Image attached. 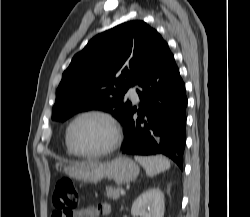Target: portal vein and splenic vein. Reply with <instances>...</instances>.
<instances>
[{"label":"portal vein and splenic vein","mask_w":250,"mask_h":217,"mask_svg":"<svg viewBox=\"0 0 250 217\" xmlns=\"http://www.w3.org/2000/svg\"><path fill=\"white\" fill-rule=\"evenodd\" d=\"M120 194L125 195V190H121Z\"/></svg>","instance_id":"18ae733b"}]
</instances>
